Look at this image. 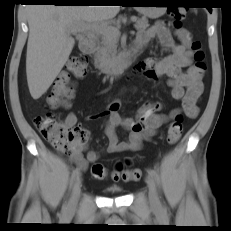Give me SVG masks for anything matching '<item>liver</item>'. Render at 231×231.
<instances>
[{"mask_svg":"<svg viewBox=\"0 0 231 231\" xmlns=\"http://www.w3.org/2000/svg\"><path fill=\"white\" fill-rule=\"evenodd\" d=\"M119 6L31 5L26 74L30 94L39 99L60 73L75 45L69 29L113 19Z\"/></svg>","mask_w":231,"mask_h":231,"instance_id":"liver-1","label":"liver"}]
</instances>
